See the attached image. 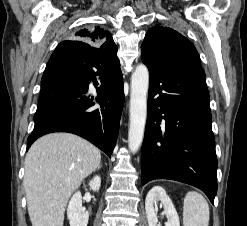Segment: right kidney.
Listing matches in <instances>:
<instances>
[{
    "label": "right kidney",
    "instance_id": "obj_1",
    "mask_svg": "<svg viewBox=\"0 0 247 226\" xmlns=\"http://www.w3.org/2000/svg\"><path fill=\"white\" fill-rule=\"evenodd\" d=\"M89 186L93 191H98L101 186L100 176H95L90 180ZM67 217L70 226H87L89 214L82 208V195L80 191H77L72 196L67 208Z\"/></svg>",
    "mask_w": 247,
    "mask_h": 226
}]
</instances>
